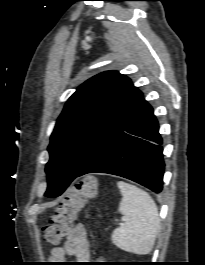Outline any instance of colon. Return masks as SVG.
I'll return each instance as SVG.
<instances>
[{"label": "colon", "instance_id": "colon-1", "mask_svg": "<svg viewBox=\"0 0 205 265\" xmlns=\"http://www.w3.org/2000/svg\"><path fill=\"white\" fill-rule=\"evenodd\" d=\"M98 192V182L94 176H86L78 182L64 197L56 212L43 227V238L46 242L56 244L71 229L78 212Z\"/></svg>", "mask_w": 205, "mask_h": 265}]
</instances>
